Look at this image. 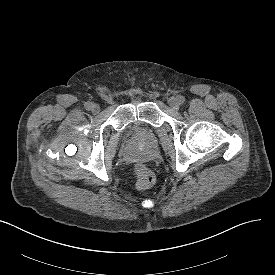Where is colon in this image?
<instances>
[{
  "mask_svg": "<svg viewBox=\"0 0 275 275\" xmlns=\"http://www.w3.org/2000/svg\"><path fill=\"white\" fill-rule=\"evenodd\" d=\"M136 174V188L140 191L150 188L155 182L154 172L145 164L137 163L134 165Z\"/></svg>",
  "mask_w": 275,
  "mask_h": 275,
  "instance_id": "colon-1",
  "label": "colon"
}]
</instances>
